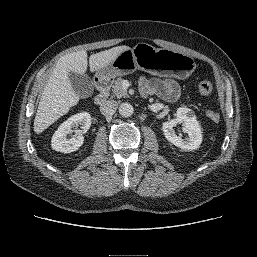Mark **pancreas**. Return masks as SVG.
<instances>
[{
    "instance_id": "pancreas-1",
    "label": "pancreas",
    "mask_w": 257,
    "mask_h": 257,
    "mask_svg": "<svg viewBox=\"0 0 257 257\" xmlns=\"http://www.w3.org/2000/svg\"><path fill=\"white\" fill-rule=\"evenodd\" d=\"M124 79L117 78L112 86L111 97H128L127 90L123 87Z\"/></svg>"
}]
</instances>
